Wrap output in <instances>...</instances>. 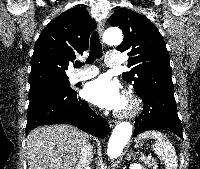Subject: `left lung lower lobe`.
Segmentation results:
<instances>
[{"mask_svg":"<svg viewBox=\"0 0 200 169\" xmlns=\"http://www.w3.org/2000/svg\"><path fill=\"white\" fill-rule=\"evenodd\" d=\"M141 99L144 108L143 112L135 119L133 136L147 130L163 129L169 130L183 139L174 93L148 90L141 96Z\"/></svg>","mask_w":200,"mask_h":169,"instance_id":"1","label":"left lung lower lobe"}]
</instances>
